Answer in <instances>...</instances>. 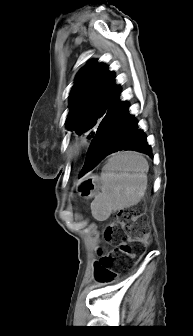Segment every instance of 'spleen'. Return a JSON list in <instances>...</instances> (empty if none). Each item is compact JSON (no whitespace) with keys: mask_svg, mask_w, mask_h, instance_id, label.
I'll return each instance as SVG.
<instances>
[{"mask_svg":"<svg viewBox=\"0 0 193 336\" xmlns=\"http://www.w3.org/2000/svg\"><path fill=\"white\" fill-rule=\"evenodd\" d=\"M148 162L138 152H118L101 174V193L91 203L93 217L105 221L112 212L136 205L147 188Z\"/></svg>","mask_w":193,"mask_h":336,"instance_id":"3e777b00","label":"spleen"}]
</instances>
